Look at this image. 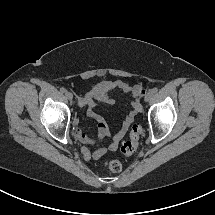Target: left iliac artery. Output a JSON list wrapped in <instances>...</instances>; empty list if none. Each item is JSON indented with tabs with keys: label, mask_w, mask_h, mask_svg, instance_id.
I'll return each mask as SVG.
<instances>
[{
	"label": "left iliac artery",
	"mask_w": 215,
	"mask_h": 215,
	"mask_svg": "<svg viewBox=\"0 0 215 215\" xmlns=\"http://www.w3.org/2000/svg\"><path fill=\"white\" fill-rule=\"evenodd\" d=\"M158 91V88H156V87H154L153 89H152V93H156Z\"/></svg>",
	"instance_id": "obj_1"
}]
</instances>
